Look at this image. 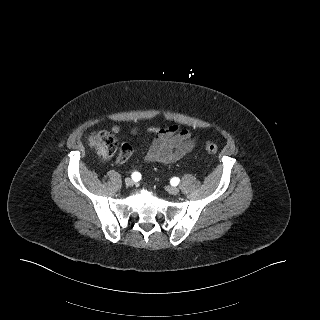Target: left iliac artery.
I'll return each instance as SVG.
<instances>
[{"mask_svg": "<svg viewBox=\"0 0 320 320\" xmlns=\"http://www.w3.org/2000/svg\"><path fill=\"white\" fill-rule=\"evenodd\" d=\"M179 181H180L179 178L174 177L171 179V184L176 186V185H178Z\"/></svg>", "mask_w": 320, "mask_h": 320, "instance_id": "obj_1", "label": "left iliac artery"}]
</instances>
